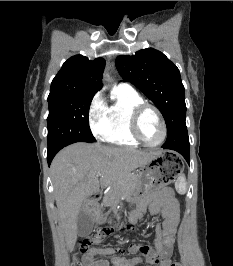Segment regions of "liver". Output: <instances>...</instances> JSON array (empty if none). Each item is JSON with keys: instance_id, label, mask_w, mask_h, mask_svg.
<instances>
[{"instance_id": "obj_1", "label": "liver", "mask_w": 233, "mask_h": 266, "mask_svg": "<svg viewBox=\"0 0 233 266\" xmlns=\"http://www.w3.org/2000/svg\"><path fill=\"white\" fill-rule=\"evenodd\" d=\"M158 153L80 142L62 149L55 156L51 178L59 224L69 251L74 249L78 214L87 198L100 186L120 184L131 171L147 164Z\"/></svg>"}]
</instances>
